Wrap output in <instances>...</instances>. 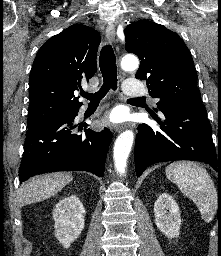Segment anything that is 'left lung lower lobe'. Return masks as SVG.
I'll return each mask as SVG.
<instances>
[{
  "instance_id": "obj_1",
  "label": "left lung lower lobe",
  "mask_w": 221,
  "mask_h": 256,
  "mask_svg": "<svg viewBox=\"0 0 221 256\" xmlns=\"http://www.w3.org/2000/svg\"><path fill=\"white\" fill-rule=\"evenodd\" d=\"M160 111L165 120L156 119L161 124L158 131L146 124L138 127L135 141L137 176L151 164L175 160L206 162L221 174V153L218 151L217 155L215 150L206 109L167 107Z\"/></svg>"
}]
</instances>
